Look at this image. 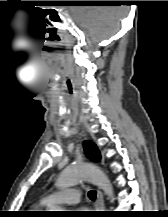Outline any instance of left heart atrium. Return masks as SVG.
Wrapping results in <instances>:
<instances>
[{
  "mask_svg": "<svg viewBox=\"0 0 168 217\" xmlns=\"http://www.w3.org/2000/svg\"><path fill=\"white\" fill-rule=\"evenodd\" d=\"M77 217H82L83 215H85V212H83L82 210L81 211H78L76 213Z\"/></svg>",
  "mask_w": 168,
  "mask_h": 217,
  "instance_id": "left-heart-atrium-1",
  "label": "left heart atrium"
}]
</instances>
